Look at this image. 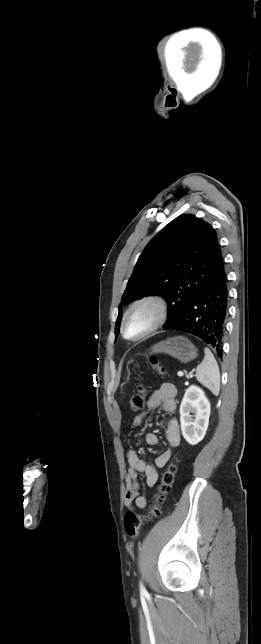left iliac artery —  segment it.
<instances>
[{
    "instance_id": "1",
    "label": "left iliac artery",
    "mask_w": 261,
    "mask_h": 644,
    "mask_svg": "<svg viewBox=\"0 0 261 644\" xmlns=\"http://www.w3.org/2000/svg\"><path fill=\"white\" fill-rule=\"evenodd\" d=\"M140 591H141L142 594L146 593V590H145V588H144V586L142 584H140Z\"/></svg>"
}]
</instances>
